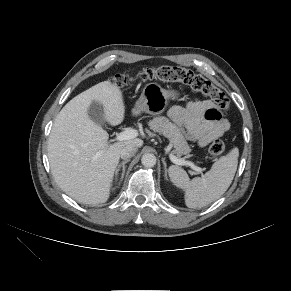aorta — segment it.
<instances>
[{"label": "aorta", "instance_id": "762f6f07", "mask_svg": "<svg viewBox=\"0 0 291 291\" xmlns=\"http://www.w3.org/2000/svg\"><path fill=\"white\" fill-rule=\"evenodd\" d=\"M141 163L144 167H153L156 164V157L151 153L144 154L141 158Z\"/></svg>", "mask_w": 291, "mask_h": 291}]
</instances>
